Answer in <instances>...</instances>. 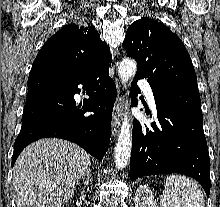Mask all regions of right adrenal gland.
<instances>
[{
    "label": "right adrenal gland",
    "mask_w": 220,
    "mask_h": 207,
    "mask_svg": "<svg viewBox=\"0 0 220 207\" xmlns=\"http://www.w3.org/2000/svg\"><path fill=\"white\" fill-rule=\"evenodd\" d=\"M91 182H92V176H91V170H89L86 174V177L82 178V183L85 185L86 188V186H88L89 183Z\"/></svg>",
    "instance_id": "right-adrenal-gland-1"
}]
</instances>
